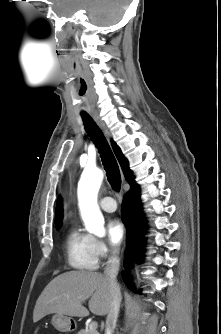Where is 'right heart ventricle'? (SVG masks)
<instances>
[{"instance_id":"e07e8e85","label":"right heart ventricle","mask_w":221,"mask_h":334,"mask_svg":"<svg viewBox=\"0 0 221 334\" xmlns=\"http://www.w3.org/2000/svg\"><path fill=\"white\" fill-rule=\"evenodd\" d=\"M65 252L68 264L80 271H93L98 267L94 238L72 225L65 237Z\"/></svg>"}]
</instances>
